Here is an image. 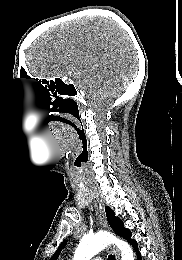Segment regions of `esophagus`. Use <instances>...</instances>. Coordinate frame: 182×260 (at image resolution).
<instances>
[{
	"label": "esophagus",
	"instance_id": "obj_1",
	"mask_svg": "<svg viewBox=\"0 0 182 260\" xmlns=\"http://www.w3.org/2000/svg\"><path fill=\"white\" fill-rule=\"evenodd\" d=\"M95 199H96L97 212H98V215H99V221L104 228H108V224H107V221H106V218H105V213H104V204L100 200L98 194L95 195ZM112 249H113L114 255L116 257V260H120L119 251L114 247Z\"/></svg>",
	"mask_w": 182,
	"mask_h": 260
}]
</instances>
